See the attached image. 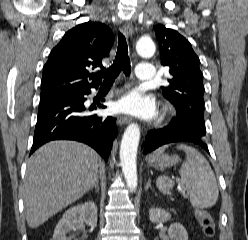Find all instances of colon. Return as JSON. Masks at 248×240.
<instances>
[{
    "mask_svg": "<svg viewBox=\"0 0 248 240\" xmlns=\"http://www.w3.org/2000/svg\"><path fill=\"white\" fill-rule=\"evenodd\" d=\"M195 215L201 225L204 235L211 238L215 233V222L211 214L205 210H197Z\"/></svg>",
    "mask_w": 248,
    "mask_h": 240,
    "instance_id": "5ec220e1",
    "label": "colon"
}]
</instances>
